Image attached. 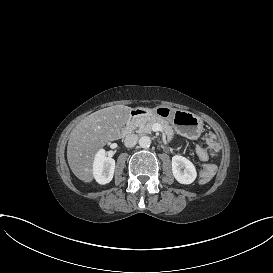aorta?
<instances>
[{
	"instance_id": "obj_1",
	"label": "aorta",
	"mask_w": 273,
	"mask_h": 273,
	"mask_svg": "<svg viewBox=\"0 0 273 273\" xmlns=\"http://www.w3.org/2000/svg\"><path fill=\"white\" fill-rule=\"evenodd\" d=\"M151 144V139L149 136H142L139 139V145L141 148H148Z\"/></svg>"
}]
</instances>
